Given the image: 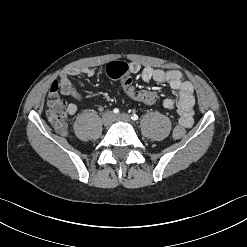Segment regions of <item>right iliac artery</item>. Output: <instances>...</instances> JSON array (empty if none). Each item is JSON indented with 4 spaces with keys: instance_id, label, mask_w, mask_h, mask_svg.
<instances>
[{
    "instance_id": "obj_1",
    "label": "right iliac artery",
    "mask_w": 247,
    "mask_h": 247,
    "mask_svg": "<svg viewBox=\"0 0 247 247\" xmlns=\"http://www.w3.org/2000/svg\"><path fill=\"white\" fill-rule=\"evenodd\" d=\"M113 112H114L115 114H118V113H119V109H118V108H115V109L113 110Z\"/></svg>"
}]
</instances>
